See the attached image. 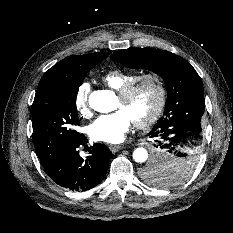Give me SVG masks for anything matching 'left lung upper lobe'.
<instances>
[{"label":"left lung upper lobe","mask_w":233,"mask_h":233,"mask_svg":"<svg viewBox=\"0 0 233 233\" xmlns=\"http://www.w3.org/2000/svg\"><path fill=\"white\" fill-rule=\"evenodd\" d=\"M111 58L129 68L147 69L163 77L168 96L163 116L156 124L188 116L201 120L205 108L202 80L184 58L153 48L120 50ZM199 158L200 155L188 154L171 158L165 164L150 162L142 177L158 186L177 185L193 174Z\"/></svg>","instance_id":"5c2ea615"}]
</instances>
